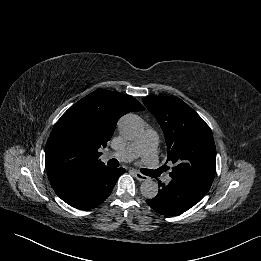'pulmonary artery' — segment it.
<instances>
[{
    "label": "pulmonary artery",
    "mask_w": 261,
    "mask_h": 261,
    "mask_svg": "<svg viewBox=\"0 0 261 261\" xmlns=\"http://www.w3.org/2000/svg\"><path fill=\"white\" fill-rule=\"evenodd\" d=\"M158 136L153 130H146L138 139L126 148L111 154V156L123 162H130L141 157L144 163L150 168H156L158 165L157 157ZM165 183L171 181L169 174L163 178Z\"/></svg>",
    "instance_id": "1"
}]
</instances>
